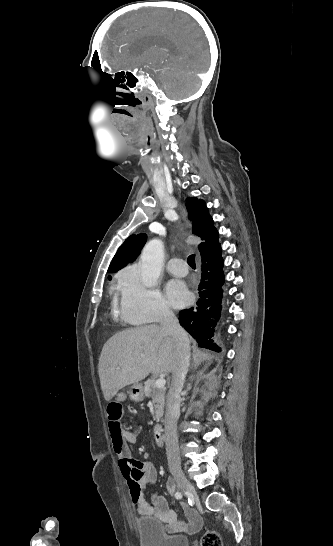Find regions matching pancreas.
Segmentation results:
<instances>
[{"label": "pancreas", "mask_w": 333, "mask_h": 546, "mask_svg": "<svg viewBox=\"0 0 333 546\" xmlns=\"http://www.w3.org/2000/svg\"><path fill=\"white\" fill-rule=\"evenodd\" d=\"M165 393L166 388H158L155 386V379H148L144 383V394L146 397L151 398L155 406V420L159 422L163 416L165 406Z\"/></svg>", "instance_id": "obj_1"}]
</instances>
